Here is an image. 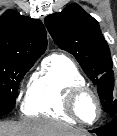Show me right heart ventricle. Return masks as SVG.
Here are the masks:
<instances>
[{
	"label": "right heart ventricle",
	"instance_id": "1",
	"mask_svg": "<svg viewBox=\"0 0 117 136\" xmlns=\"http://www.w3.org/2000/svg\"><path fill=\"white\" fill-rule=\"evenodd\" d=\"M86 85L85 79L72 59L60 53L46 57L32 76L23 111L30 116H45L76 121L64 109L66 93L73 87Z\"/></svg>",
	"mask_w": 117,
	"mask_h": 136
}]
</instances>
